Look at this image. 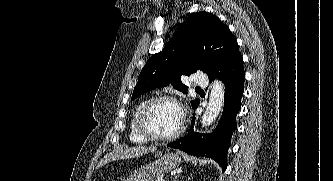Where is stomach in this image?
Masks as SVG:
<instances>
[{
    "label": "stomach",
    "instance_id": "obj_1",
    "mask_svg": "<svg viewBox=\"0 0 333 181\" xmlns=\"http://www.w3.org/2000/svg\"><path fill=\"white\" fill-rule=\"evenodd\" d=\"M155 158L154 161L132 171L125 181H155L181 163V158L174 153L157 152Z\"/></svg>",
    "mask_w": 333,
    "mask_h": 181
}]
</instances>
